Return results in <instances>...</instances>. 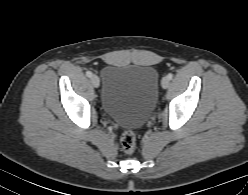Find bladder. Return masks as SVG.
<instances>
[{
	"instance_id": "31cf9c89",
	"label": "bladder",
	"mask_w": 248,
	"mask_h": 195,
	"mask_svg": "<svg viewBox=\"0 0 248 195\" xmlns=\"http://www.w3.org/2000/svg\"><path fill=\"white\" fill-rule=\"evenodd\" d=\"M102 80L100 101L105 113L123 127L142 126L157 101V70L144 65H109Z\"/></svg>"
}]
</instances>
